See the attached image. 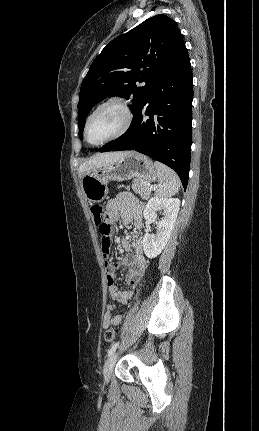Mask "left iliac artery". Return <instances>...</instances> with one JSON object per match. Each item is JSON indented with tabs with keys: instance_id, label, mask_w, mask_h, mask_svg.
Segmentation results:
<instances>
[{
	"instance_id": "1",
	"label": "left iliac artery",
	"mask_w": 259,
	"mask_h": 431,
	"mask_svg": "<svg viewBox=\"0 0 259 431\" xmlns=\"http://www.w3.org/2000/svg\"><path fill=\"white\" fill-rule=\"evenodd\" d=\"M118 345H119V342H116L115 344H113V346L108 350V356H111L115 352Z\"/></svg>"
}]
</instances>
